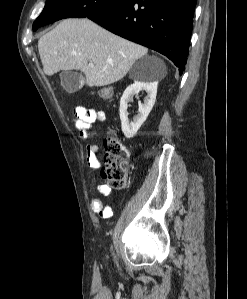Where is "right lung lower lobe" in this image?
Listing matches in <instances>:
<instances>
[{
    "instance_id": "obj_1",
    "label": "right lung lower lobe",
    "mask_w": 247,
    "mask_h": 299,
    "mask_svg": "<svg viewBox=\"0 0 247 299\" xmlns=\"http://www.w3.org/2000/svg\"><path fill=\"white\" fill-rule=\"evenodd\" d=\"M196 0H126L88 17L107 30L165 55L185 69Z\"/></svg>"
}]
</instances>
